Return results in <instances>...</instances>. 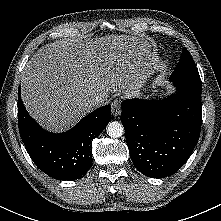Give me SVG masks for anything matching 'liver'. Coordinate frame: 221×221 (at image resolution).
I'll use <instances>...</instances> for the list:
<instances>
[{"label":"liver","instance_id":"liver-1","mask_svg":"<svg viewBox=\"0 0 221 221\" xmlns=\"http://www.w3.org/2000/svg\"><path fill=\"white\" fill-rule=\"evenodd\" d=\"M155 64L146 38H64L41 47L26 64L21 95L29 114L52 132L69 129L110 93H135Z\"/></svg>","mask_w":221,"mask_h":221}]
</instances>
